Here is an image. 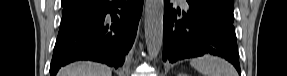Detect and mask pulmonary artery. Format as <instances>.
I'll return each instance as SVG.
<instances>
[{
	"instance_id": "1",
	"label": "pulmonary artery",
	"mask_w": 287,
	"mask_h": 76,
	"mask_svg": "<svg viewBox=\"0 0 287 76\" xmlns=\"http://www.w3.org/2000/svg\"><path fill=\"white\" fill-rule=\"evenodd\" d=\"M180 2H183V3H185L186 2V0H179Z\"/></svg>"
}]
</instances>
